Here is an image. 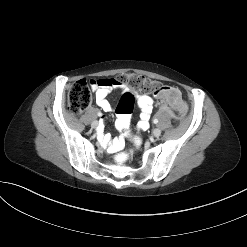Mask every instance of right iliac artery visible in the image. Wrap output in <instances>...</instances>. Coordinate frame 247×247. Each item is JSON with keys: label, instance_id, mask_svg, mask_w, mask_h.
<instances>
[{"label": "right iliac artery", "instance_id": "obj_1", "mask_svg": "<svg viewBox=\"0 0 247 247\" xmlns=\"http://www.w3.org/2000/svg\"><path fill=\"white\" fill-rule=\"evenodd\" d=\"M98 116H102V114L101 113H98Z\"/></svg>", "mask_w": 247, "mask_h": 247}]
</instances>
